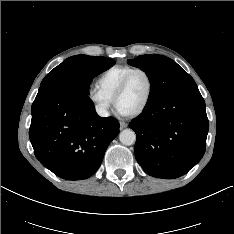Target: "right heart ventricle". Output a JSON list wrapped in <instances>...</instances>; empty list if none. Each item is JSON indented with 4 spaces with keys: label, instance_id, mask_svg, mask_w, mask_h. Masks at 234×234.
I'll return each instance as SVG.
<instances>
[{
    "label": "right heart ventricle",
    "instance_id": "1",
    "mask_svg": "<svg viewBox=\"0 0 234 234\" xmlns=\"http://www.w3.org/2000/svg\"><path fill=\"white\" fill-rule=\"evenodd\" d=\"M134 67L129 65H115L105 69L97 79L98 87L111 99L125 75Z\"/></svg>",
    "mask_w": 234,
    "mask_h": 234
}]
</instances>
